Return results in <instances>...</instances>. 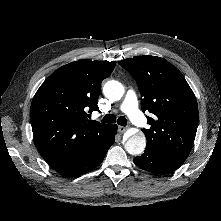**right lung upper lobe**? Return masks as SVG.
<instances>
[{
    "label": "right lung upper lobe",
    "instance_id": "1",
    "mask_svg": "<svg viewBox=\"0 0 221 221\" xmlns=\"http://www.w3.org/2000/svg\"><path fill=\"white\" fill-rule=\"evenodd\" d=\"M115 61H75L54 71L36 92L30 109L34 142L46 162L61 169L98 150L110 125L88 120L97 110L101 82Z\"/></svg>",
    "mask_w": 221,
    "mask_h": 221
}]
</instances>
